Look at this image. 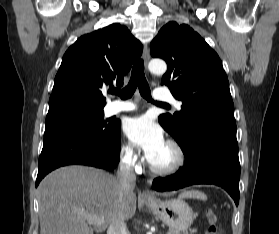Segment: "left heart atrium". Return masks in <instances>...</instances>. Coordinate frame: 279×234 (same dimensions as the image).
<instances>
[{
	"label": "left heart atrium",
	"instance_id": "1",
	"mask_svg": "<svg viewBox=\"0 0 279 234\" xmlns=\"http://www.w3.org/2000/svg\"><path fill=\"white\" fill-rule=\"evenodd\" d=\"M125 134L132 143L145 151L148 160L166 145L162 128L146 115L129 119L125 125Z\"/></svg>",
	"mask_w": 279,
	"mask_h": 234
}]
</instances>
